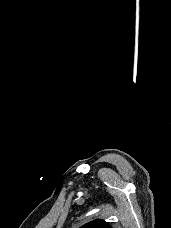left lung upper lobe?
<instances>
[{
    "instance_id": "5c2ea615",
    "label": "left lung upper lobe",
    "mask_w": 171,
    "mask_h": 228,
    "mask_svg": "<svg viewBox=\"0 0 171 228\" xmlns=\"http://www.w3.org/2000/svg\"><path fill=\"white\" fill-rule=\"evenodd\" d=\"M81 228H111V226L109 223L98 219L83 225Z\"/></svg>"
}]
</instances>
